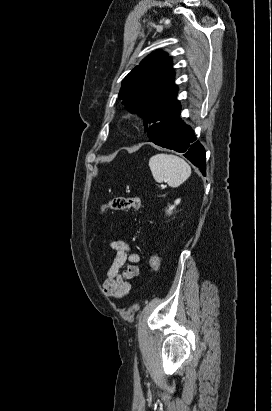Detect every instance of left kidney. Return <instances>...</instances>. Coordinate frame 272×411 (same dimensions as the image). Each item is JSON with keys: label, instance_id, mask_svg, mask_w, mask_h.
<instances>
[{"label": "left kidney", "instance_id": "obj_1", "mask_svg": "<svg viewBox=\"0 0 272 411\" xmlns=\"http://www.w3.org/2000/svg\"><path fill=\"white\" fill-rule=\"evenodd\" d=\"M179 203H180V199H177L175 201V205H178ZM175 205H172L169 207L168 214H171L172 210L175 208Z\"/></svg>", "mask_w": 272, "mask_h": 411}]
</instances>
